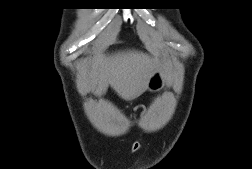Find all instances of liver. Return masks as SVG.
<instances>
[{
    "label": "liver",
    "instance_id": "liver-1",
    "mask_svg": "<svg viewBox=\"0 0 252 169\" xmlns=\"http://www.w3.org/2000/svg\"><path fill=\"white\" fill-rule=\"evenodd\" d=\"M157 64V58L139 51L109 57L98 55L85 67L81 83L84 89L97 96L105 94L110 85L121 98L132 100L147 89Z\"/></svg>",
    "mask_w": 252,
    "mask_h": 169
}]
</instances>
